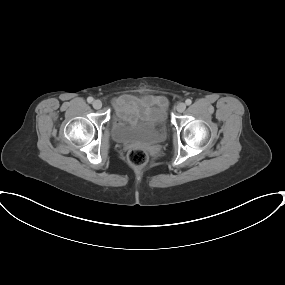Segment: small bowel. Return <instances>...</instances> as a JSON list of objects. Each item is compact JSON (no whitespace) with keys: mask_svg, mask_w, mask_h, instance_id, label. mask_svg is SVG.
<instances>
[{"mask_svg":"<svg viewBox=\"0 0 285 285\" xmlns=\"http://www.w3.org/2000/svg\"><path fill=\"white\" fill-rule=\"evenodd\" d=\"M119 104L124 106V113L129 121H135L139 118L147 116L150 109L157 105L158 107L166 108L167 102L161 96H145L143 98H136L130 95L119 99Z\"/></svg>","mask_w":285,"mask_h":285,"instance_id":"c3829d8e","label":"small bowel"}]
</instances>
